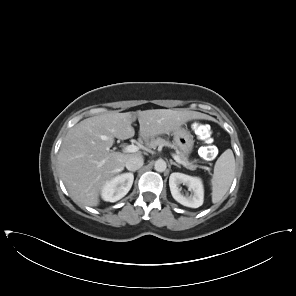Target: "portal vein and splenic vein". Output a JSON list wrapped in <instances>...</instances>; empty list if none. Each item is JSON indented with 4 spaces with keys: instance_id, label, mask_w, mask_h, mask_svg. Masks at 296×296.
<instances>
[{
    "instance_id": "1",
    "label": "portal vein and splenic vein",
    "mask_w": 296,
    "mask_h": 296,
    "mask_svg": "<svg viewBox=\"0 0 296 296\" xmlns=\"http://www.w3.org/2000/svg\"><path fill=\"white\" fill-rule=\"evenodd\" d=\"M138 150H139V147L133 144L126 146L124 149L126 153H133V152H137ZM172 157L177 163L182 165L184 164V162L177 155H172Z\"/></svg>"
}]
</instances>
